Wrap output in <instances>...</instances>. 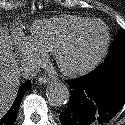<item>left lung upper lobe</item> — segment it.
<instances>
[{"mask_svg": "<svg viewBox=\"0 0 125 125\" xmlns=\"http://www.w3.org/2000/svg\"><path fill=\"white\" fill-rule=\"evenodd\" d=\"M125 57V31H121L114 43L111 45L110 51L106 56V59Z\"/></svg>", "mask_w": 125, "mask_h": 125, "instance_id": "5c2ea615", "label": "left lung upper lobe"}]
</instances>
